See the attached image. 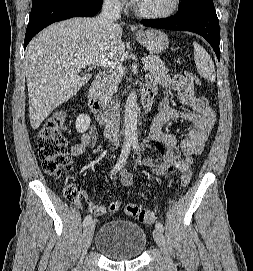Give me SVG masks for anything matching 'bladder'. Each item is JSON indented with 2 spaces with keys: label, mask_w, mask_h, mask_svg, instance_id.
<instances>
[{
  "label": "bladder",
  "mask_w": 253,
  "mask_h": 271,
  "mask_svg": "<svg viewBox=\"0 0 253 271\" xmlns=\"http://www.w3.org/2000/svg\"><path fill=\"white\" fill-rule=\"evenodd\" d=\"M147 246L143 228L129 220H112L98 231L95 247L108 259L125 261L139 258Z\"/></svg>",
  "instance_id": "bladder-1"
}]
</instances>
